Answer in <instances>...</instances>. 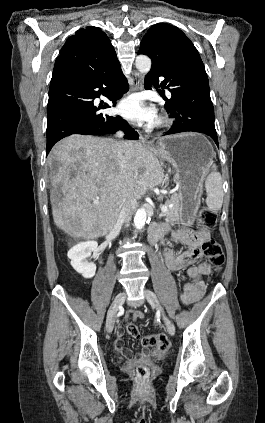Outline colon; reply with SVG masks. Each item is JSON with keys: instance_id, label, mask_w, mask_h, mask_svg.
<instances>
[{"instance_id": "5ec220e1", "label": "colon", "mask_w": 265, "mask_h": 423, "mask_svg": "<svg viewBox=\"0 0 265 423\" xmlns=\"http://www.w3.org/2000/svg\"><path fill=\"white\" fill-rule=\"evenodd\" d=\"M216 213L210 209L203 208L200 211V223L204 228H213L216 225ZM202 251L208 262H210L216 270H219L224 261L225 256L222 246L215 239H206L202 243ZM127 331L131 336L137 338L141 343L150 349L153 355L164 354L170 346L169 339L164 334L141 335L138 327L134 323L127 325ZM136 376L140 381H144L149 376L146 366L139 365L136 369Z\"/></svg>"}]
</instances>
